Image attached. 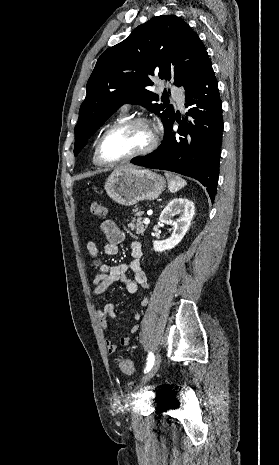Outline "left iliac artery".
<instances>
[{
	"mask_svg": "<svg viewBox=\"0 0 279 465\" xmlns=\"http://www.w3.org/2000/svg\"><path fill=\"white\" fill-rule=\"evenodd\" d=\"M153 363H154V355H153L152 352H150V353L148 354L147 365H146V370H145V372H149V371H150V369H151L152 366H153Z\"/></svg>",
	"mask_w": 279,
	"mask_h": 465,
	"instance_id": "obj_1",
	"label": "left iliac artery"
}]
</instances>
